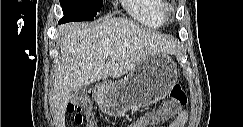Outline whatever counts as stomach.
<instances>
[{
	"mask_svg": "<svg viewBox=\"0 0 243 127\" xmlns=\"http://www.w3.org/2000/svg\"><path fill=\"white\" fill-rule=\"evenodd\" d=\"M176 80L173 60L165 53H154L142 59L123 80L98 84L94 94L103 113L118 117L165 98Z\"/></svg>",
	"mask_w": 243,
	"mask_h": 127,
	"instance_id": "0dacf381",
	"label": "stomach"
}]
</instances>
